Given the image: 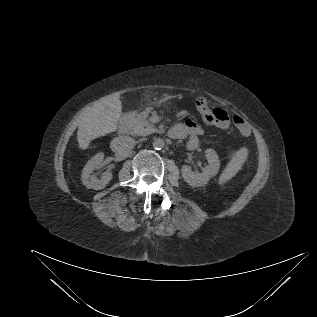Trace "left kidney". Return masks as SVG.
I'll use <instances>...</instances> for the list:
<instances>
[{"label": "left kidney", "instance_id": "left-kidney-1", "mask_svg": "<svg viewBox=\"0 0 317 317\" xmlns=\"http://www.w3.org/2000/svg\"><path fill=\"white\" fill-rule=\"evenodd\" d=\"M205 155L208 160V165L201 173H194L191 167L184 165L181 168L182 177L184 180L193 187L204 186L208 183L209 179L217 175L220 168L219 157L214 149H206Z\"/></svg>", "mask_w": 317, "mask_h": 317}]
</instances>
